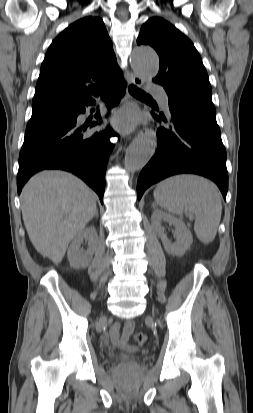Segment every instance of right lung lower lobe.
Here are the masks:
<instances>
[{
  "mask_svg": "<svg viewBox=\"0 0 253 413\" xmlns=\"http://www.w3.org/2000/svg\"><path fill=\"white\" fill-rule=\"evenodd\" d=\"M126 83L122 73L113 79L103 94L108 108L117 106L125 93ZM95 101L84 103L73 109L71 121L40 134L27 137L19 155L17 189L22 187L36 172L43 169H62L80 177L97 192L103 203L105 172L113 144L109 141L115 135L108 126L105 130L92 135L84 133L86 128L78 127L77 117L85 112V106L94 105ZM96 118L101 120L100 113ZM97 125L96 122L91 127Z\"/></svg>",
  "mask_w": 253,
  "mask_h": 413,
  "instance_id": "1",
  "label": "right lung lower lobe"
}]
</instances>
